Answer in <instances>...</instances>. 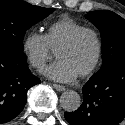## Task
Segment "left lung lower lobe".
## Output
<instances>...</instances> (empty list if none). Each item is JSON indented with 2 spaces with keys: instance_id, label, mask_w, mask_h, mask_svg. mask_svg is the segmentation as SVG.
<instances>
[{
  "instance_id": "1",
  "label": "left lung lower lobe",
  "mask_w": 125,
  "mask_h": 125,
  "mask_svg": "<svg viewBox=\"0 0 125 125\" xmlns=\"http://www.w3.org/2000/svg\"><path fill=\"white\" fill-rule=\"evenodd\" d=\"M83 103L65 112L70 125H118L125 118V62L95 73L83 86Z\"/></svg>"
}]
</instances>
